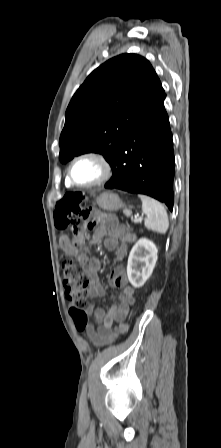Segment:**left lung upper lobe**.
Returning <instances> with one entry per match:
<instances>
[{"mask_svg":"<svg viewBox=\"0 0 221 448\" xmlns=\"http://www.w3.org/2000/svg\"><path fill=\"white\" fill-rule=\"evenodd\" d=\"M163 94L158 76L144 57L121 54L106 61L87 77L68 105L60 161L96 152L111 163L128 131Z\"/></svg>","mask_w":221,"mask_h":448,"instance_id":"5c2ea615","label":"left lung upper lobe"}]
</instances>
